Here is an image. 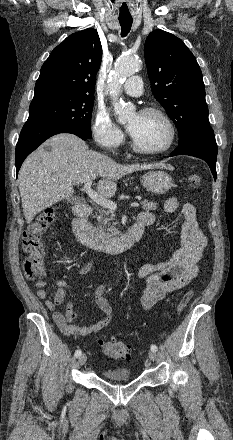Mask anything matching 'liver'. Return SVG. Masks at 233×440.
Instances as JSON below:
<instances>
[{
	"mask_svg": "<svg viewBox=\"0 0 233 440\" xmlns=\"http://www.w3.org/2000/svg\"><path fill=\"white\" fill-rule=\"evenodd\" d=\"M46 147L51 150L46 151ZM162 167L166 165H122L90 150L76 135L57 134L29 155L20 168L18 183L25 220L30 224L47 207L71 197L73 185L84 183L88 178L100 176L98 192L111 197L117 190L115 180L135 171Z\"/></svg>",
	"mask_w": 233,
	"mask_h": 440,
	"instance_id": "6515ba94",
	"label": "liver"
}]
</instances>
